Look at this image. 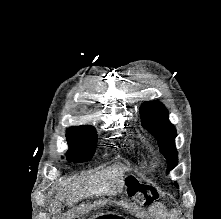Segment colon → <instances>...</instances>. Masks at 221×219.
<instances>
[{
	"mask_svg": "<svg viewBox=\"0 0 221 219\" xmlns=\"http://www.w3.org/2000/svg\"><path fill=\"white\" fill-rule=\"evenodd\" d=\"M128 186L132 194L138 197L140 200H141V195L146 197V200L143 201L144 203H149L154 200L153 193L146 186L139 184L137 182L128 183Z\"/></svg>",
	"mask_w": 221,
	"mask_h": 219,
	"instance_id": "1",
	"label": "colon"
}]
</instances>
